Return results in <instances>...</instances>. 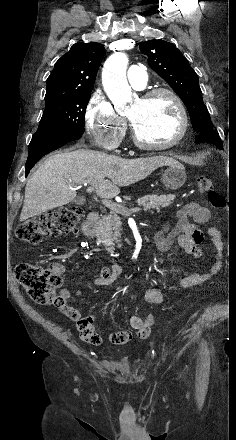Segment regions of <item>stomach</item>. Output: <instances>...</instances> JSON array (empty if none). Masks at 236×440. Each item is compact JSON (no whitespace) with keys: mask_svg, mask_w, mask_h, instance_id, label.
I'll return each instance as SVG.
<instances>
[{"mask_svg":"<svg viewBox=\"0 0 236 440\" xmlns=\"http://www.w3.org/2000/svg\"><path fill=\"white\" fill-rule=\"evenodd\" d=\"M161 181L163 185L172 190L179 189L186 181L185 168L177 161L166 165Z\"/></svg>","mask_w":236,"mask_h":440,"instance_id":"0dacf381","label":"stomach"}]
</instances>
